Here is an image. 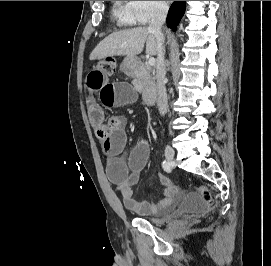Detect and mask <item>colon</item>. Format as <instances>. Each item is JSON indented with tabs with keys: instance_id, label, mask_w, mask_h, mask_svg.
<instances>
[{
	"instance_id": "colon-1",
	"label": "colon",
	"mask_w": 271,
	"mask_h": 266,
	"mask_svg": "<svg viewBox=\"0 0 271 266\" xmlns=\"http://www.w3.org/2000/svg\"><path fill=\"white\" fill-rule=\"evenodd\" d=\"M97 68L101 69L108 75H113L116 72L117 66L114 59L106 58L98 61ZM198 192L203 197L209 207H212L214 205L213 197L210 191L205 186L198 187Z\"/></svg>"
}]
</instances>
